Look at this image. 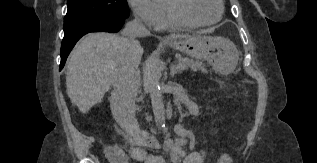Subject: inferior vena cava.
Listing matches in <instances>:
<instances>
[{
    "label": "inferior vena cava",
    "mask_w": 317,
    "mask_h": 163,
    "mask_svg": "<svg viewBox=\"0 0 317 163\" xmlns=\"http://www.w3.org/2000/svg\"><path fill=\"white\" fill-rule=\"evenodd\" d=\"M148 34L149 31L137 18L125 25L122 32L124 60L117 69L112 82L114 87L110 97L112 114L131 137H136L140 133L139 124L135 117V98L140 81V72L138 61L136 59L131 60L129 57L138 44L136 38Z\"/></svg>",
    "instance_id": "602c4592"
}]
</instances>
